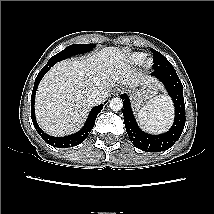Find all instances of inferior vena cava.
<instances>
[{
	"mask_svg": "<svg viewBox=\"0 0 214 214\" xmlns=\"http://www.w3.org/2000/svg\"><path fill=\"white\" fill-rule=\"evenodd\" d=\"M86 97L89 103L99 104L108 97V92L106 90L94 88L87 92Z\"/></svg>",
	"mask_w": 214,
	"mask_h": 214,
	"instance_id": "obj_1",
	"label": "inferior vena cava"
}]
</instances>
